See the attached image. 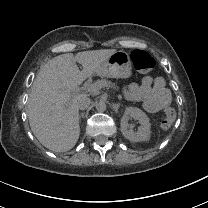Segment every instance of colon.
<instances>
[{
  "mask_svg": "<svg viewBox=\"0 0 208 208\" xmlns=\"http://www.w3.org/2000/svg\"><path fill=\"white\" fill-rule=\"evenodd\" d=\"M131 61L134 68L138 72L149 73L152 71L155 65L154 58L152 55L141 49H135L131 53ZM176 119V111L174 108H166L165 114L162 120L160 121V128L162 130H168L172 127Z\"/></svg>",
  "mask_w": 208,
  "mask_h": 208,
  "instance_id": "5ec220e1",
  "label": "colon"
}]
</instances>
